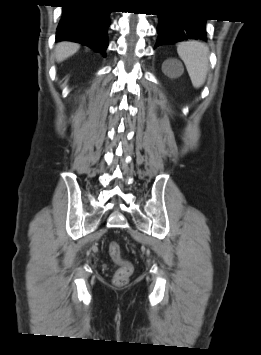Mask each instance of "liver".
<instances>
[{"label":"liver","mask_w":261,"mask_h":355,"mask_svg":"<svg viewBox=\"0 0 261 355\" xmlns=\"http://www.w3.org/2000/svg\"><path fill=\"white\" fill-rule=\"evenodd\" d=\"M80 48L79 44L72 42H61L56 45L55 57L58 62H62L75 54Z\"/></svg>","instance_id":"obj_1"}]
</instances>
